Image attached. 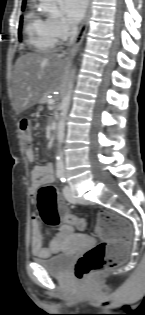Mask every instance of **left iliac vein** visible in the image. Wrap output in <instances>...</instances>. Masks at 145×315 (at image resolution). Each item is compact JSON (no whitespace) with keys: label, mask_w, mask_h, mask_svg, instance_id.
<instances>
[{"label":"left iliac vein","mask_w":145,"mask_h":315,"mask_svg":"<svg viewBox=\"0 0 145 315\" xmlns=\"http://www.w3.org/2000/svg\"><path fill=\"white\" fill-rule=\"evenodd\" d=\"M65 199L70 203H76L77 199L74 196V193L69 185H66L63 190Z\"/></svg>","instance_id":"4c4485c4"}]
</instances>
